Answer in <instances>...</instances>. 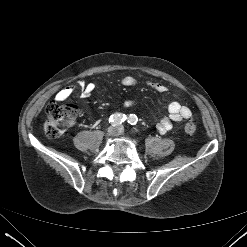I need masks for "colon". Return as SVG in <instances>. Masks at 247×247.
<instances>
[{
    "instance_id": "obj_1",
    "label": "colon",
    "mask_w": 247,
    "mask_h": 247,
    "mask_svg": "<svg viewBox=\"0 0 247 247\" xmlns=\"http://www.w3.org/2000/svg\"><path fill=\"white\" fill-rule=\"evenodd\" d=\"M76 115V107L72 104L60 105L50 102L46 107V122L44 125L45 133L50 138L60 136L72 122ZM184 131L191 136L196 131L193 121H188L184 126Z\"/></svg>"
}]
</instances>
